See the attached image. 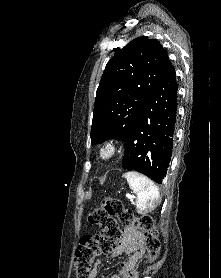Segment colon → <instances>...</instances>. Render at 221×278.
<instances>
[{
	"mask_svg": "<svg viewBox=\"0 0 221 278\" xmlns=\"http://www.w3.org/2000/svg\"><path fill=\"white\" fill-rule=\"evenodd\" d=\"M116 218L121 225L133 227L143 233L147 261L157 257L160 242L153 217H136L120 200L106 197L89 215V222L100 228V234L82 237L77 247L74 263L76 278H89L94 259L99 255L109 254L114 249L121 236Z\"/></svg>",
	"mask_w": 221,
	"mask_h": 278,
	"instance_id": "5ec220e1",
	"label": "colon"
}]
</instances>
